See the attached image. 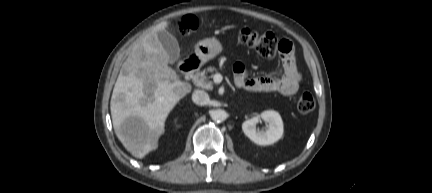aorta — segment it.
Masks as SVG:
<instances>
[{
	"label": "aorta",
	"mask_w": 432,
	"mask_h": 193,
	"mask_svg": "<svg viewBox=\"0 0 432 193\" xmlns=\"http://www.w3.org/2000/svg\"><path fill=\"white\" fill-rule=\"evenodd\" d=\"M211 118L215 122H223L227 118V113L222 109H216L211 112Z\"/></svg>",
	"instance_id": "obj_1"
}]
</instances>
